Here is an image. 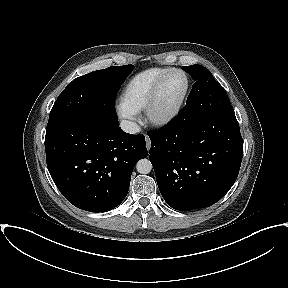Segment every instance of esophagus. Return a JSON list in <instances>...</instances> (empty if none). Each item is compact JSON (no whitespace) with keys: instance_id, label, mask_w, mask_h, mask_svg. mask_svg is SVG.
I'll return each mask as SVG.
<instances>
[{"instance_id":"1","label":"esophagus","mask_w":288,"mask_h":288,"mask_svg":"<svg viewBox=\"0 0 288 288\" xmlns=\"http://www.w3.org/2000/svg\"><path fill=\"white\" fill-rule=\"evenodd\" d=\"M146 147H147L148 150L151 147V141H150V138L147 135H146Z\"/></svg>"}]
</instances>
